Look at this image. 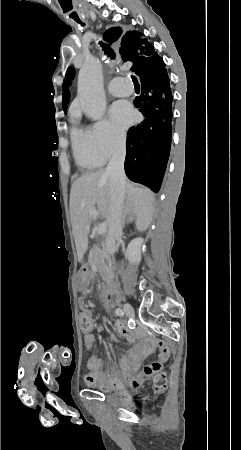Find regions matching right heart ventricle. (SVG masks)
Here are the masks:
<instances>
[{"instance_id": "1", "label": "right heart ventricle", "mask_w": 241, "mask_h": 450, "mask_svg": "<svg viewBox=\"0 0 241 450\" xmlns=\"http://www.w3.org/2000/svg\"><path fill=\"white\" fill-rule=\"evenodd\" d=\"M93 126L74 125L71 128V143L76 163L83 168H94L104 164L90 149V131Z\"/></svg>"}]
</instances>
